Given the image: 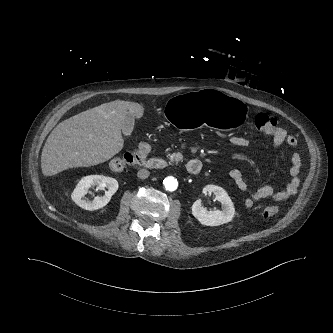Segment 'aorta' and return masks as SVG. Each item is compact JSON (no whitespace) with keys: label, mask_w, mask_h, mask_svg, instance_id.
I'll return each mask as SVG.
<instances>
[{"label":"aorta","mask_w":333,"mask_h":333,"mask_svg":"<svg viewBox=\"0 0 333 333\" xmlns=\"http://www.w3.org/2000/svg\"><path fill=\"white\" fill-rule=\"evenodd\" d=\"M163 184L168 191H175L178 187V182L174 177L165 178Z\"/></svg>","instance_id":"aorta-1"}]
</instances>
